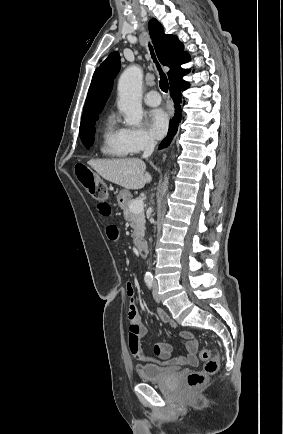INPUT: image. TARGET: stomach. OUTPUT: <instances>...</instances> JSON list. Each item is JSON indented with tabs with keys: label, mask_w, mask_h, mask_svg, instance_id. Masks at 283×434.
<instances>
[{
	"label": "stomach",
	"mask_w": 283,
	"mask_h": 434,
	"mask_svg": "<svg viewBox=\"0 0 283 434\" xmlns=\"http://www.w3.org/2000/svg\"><path fill=\"white\" fill-rule=\"evenodd\" d=\"M131 200V194L128 190L123 189L117 196V201L120 207L126 206Z\"/></svg>",
	"instance_id": "1"
}]
</instances>
